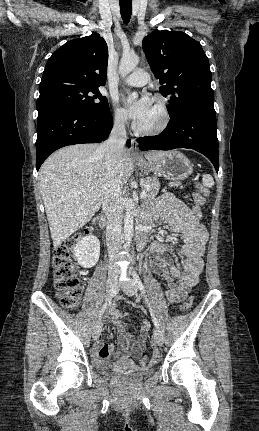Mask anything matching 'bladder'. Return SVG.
Wrapping results in <instances>:
<instances>
[{
  "label": "bladder",
  "mask_w": 259,
  "mask_h": 431,
  "mask_svg": "<svg viewBox=\"0 0 259 431\" xmlns=\"http://www.w3.org/2000/svg\"><path fill=\"white\" fill-rule=\"evenodd\" d=\"M100 371L105 375L124 379L143 378L153 373L152 368H139L128 362H118L114 365L103 367Z\"/></svg>",
  "instance_id": "1"
}]
</instances>
